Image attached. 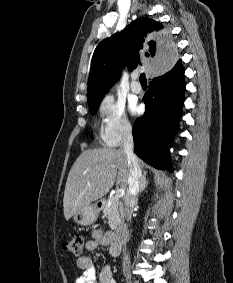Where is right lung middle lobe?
<instances>
[{
	"mask_svg": "<svg viewBox=\"0 0 233 283\" xmlns=\"http://www.w3.org/2000/svg\"><path fill=\"white\" fill-rule=\"evenodd\" d=\"M98 108H99V104L89 106V109L92 115L96 114Z\"/></svg>",
	"mask_w": 233,
	"mask_h": 283,
	"instance_id": "dd1d6c3e",
	"label": "right lung middle lobe"
}]
</instances>
